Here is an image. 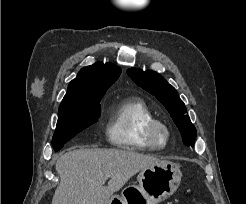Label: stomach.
<instances>
[{"mask_svg":"<svg viewBox=\"0 0 246 204\" xmlns=\"http://www.w3.org/2000/svg\"><path fill=\"white\" fill-rule=\"evenodd\" d=\"M181 177L178 164L161 161L141 170L137 186H127L120 195H113L106 204H158L177 190Z\"/></svg>","mask_w":246,"mask_h":204,"instance_id":"1","label":"stomach"}]
</instances>
